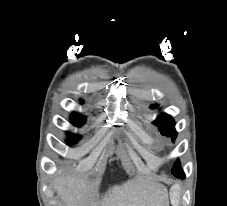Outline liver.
Wrapping results in <instances>:
<instances>
[{
	"label": "liver",
	"instance_id": "6515ba94",
	"mask_svg": "<svg viewBox=\"0 0 227 206\" xmlns=\"http://www.w3.org/2000/svg\"><path fill=\"white\" fill-rule=\"evenodd\" d=\"M55 189L64 206H164L168 198L166 187L151 180L114 186L101 201L94 197L93 186L84 179L57 178Z\"/></svg>",
	"mask_w": 227,
	"mask_h": 206
}]
</instances>
